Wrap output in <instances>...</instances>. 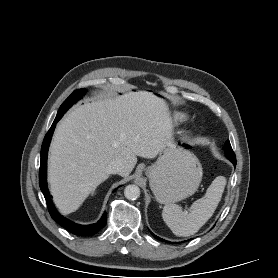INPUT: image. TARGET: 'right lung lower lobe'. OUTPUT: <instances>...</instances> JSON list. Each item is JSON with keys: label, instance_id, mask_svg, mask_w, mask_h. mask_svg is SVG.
<instances>
[{"label": "right lung lower lobe", "instance_id": "right-lung-lower-lobe-1", "mask_svg": "<svg viewBox=\"0 0 278 278\" xmlns=\"http://www.w3.org/2000/svg\"><path fill=\"white\" fill-rule=\"evenodd\" d=\"M64 112H58L51 128L47 132L42 148H41V160H40V172H39V185L41 188V191L45 197L48 210L50 212L51 217L59 223L61 226H63L65 229L70 231L73 234L76 235H83V236H90L100 231L101 228H103L106 225V213L103 214L100 221H98L95 224L90 225H79L76 223L71 222L70 220L64 218L61 216L55 209L52 200L49 195V191L47 188V153H48V147L51 141L52 134L54 132L56 123L61 119Z\"/></svg>", "mask_w": 278, "mask_h": 278}]
</instances>
